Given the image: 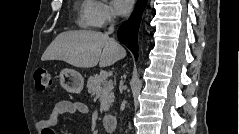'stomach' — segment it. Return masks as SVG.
Segmentation results:
<instances>
[{
  "instance_id": "0dacf381",
  "label": "stomach",
  "mask_w": 239,
  "mask_h": 134,
  "mask_svg": "<svg viewBox=\"0 0 239 134\" xmlns=\"http://www.w3.org/2000/svg\"><path fill=\"white\" fill-rule=\"evenodd\" d=\"M61 85L71 93H80L83 90L84 79L82 75L73 69H63L59 75Z\"/></svg>"
}]
</instances>
